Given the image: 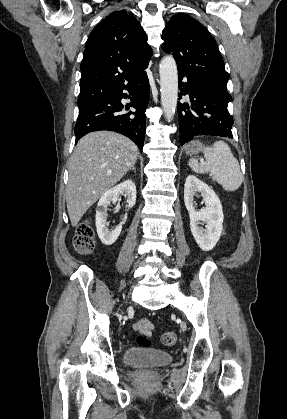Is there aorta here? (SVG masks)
<instances>
[{
    "instance_id": "1",
    "label": "aorta",
    "mask_w": 287,
    "mask_h": 419,
    "mask_svg": "<svg viewBox=\"0 0 287 419\" xmlns=\"http://www.w3.org/2000/svg\"><path fill=\"white\" fill-rule=\"evenodd\" d=\"M159 74L161 103L164 115L170 122L175 114L178 98L177 65L172 56H166L161 60Z\"/></svg>"
}]
</instances>
